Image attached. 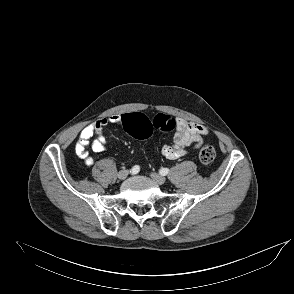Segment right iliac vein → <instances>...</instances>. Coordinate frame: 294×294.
<instances>
[{
  "instance_id": "1",
  "label": "right iliac vein",
  "mask_w": 294,
  "mask_h": 294,
  "mask_svg": "<svg viewBox=\"0 0 294 294\" xmlns=\"http://www.w3.org/2000/svg\"><path fill=\"white\" fill-rule=\"evenodd\" d=\"M128 176V171L127 170H121L118 173V178L120 180H124Z\"/></svg>"
}]
</instances>
